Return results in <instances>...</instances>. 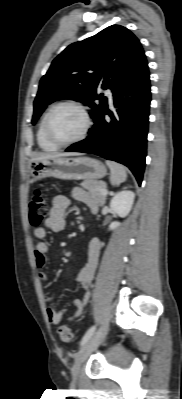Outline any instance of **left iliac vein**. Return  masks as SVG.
I'll use <instances>...</instances> for the list:
<instances>
[{"instance_id":"4c4485c4","label":"left iliac vein","mask_w":182,"mask_h":399,"mask_svg":"<svg viewBox=\"0 0 182 399\" xmlns=\"http://www.w3.org/2000/svg\"><path fill=\"white\" fill-rule=\"evenodd\" d=\"M107 329V326H103L101 329H99L78 351L74 365L71 369V374L75 380L79 378L83 363L104 339Z\"/></svg>"}]
</instances>
